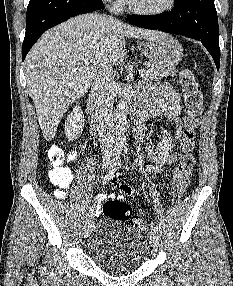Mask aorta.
<instances>
[{
	"label": "aorta",
	"mask_w": 233,
	"mask_h": 286,
	"mask_svg": "<svg viewBox=\"0 0 233 286\" xmlns=\"http://www.w3.org/2000/svg\"><path fill=\"white\" fill-rule=\"evenodd\" d=\"M115 121V134L116 140L118 142H124L126 140V131H127V106L125 98H121L114 115Z\"/></svg>",
	"instance_id": "aorta-1"
}]
</instances>
